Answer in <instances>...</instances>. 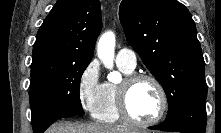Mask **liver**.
I'll list each match as a JSON object with an SVG mask.
<instances>
[{"mask_svg":"<svg viewBox=\"0 0 221 133\" xmlns=\"http://www.w3.org/2000/svg\"><path fill=\"white\" fill-rule=\"evenodd\" d=\"M136 129L121 126L104 125L100 123L58 122L52 125L46 133H138Z\"/></svg>","mask_w":221,"mask_h":133,"instance_id":"obj_1","label":"liver"}]
</instances>
